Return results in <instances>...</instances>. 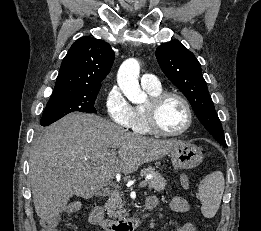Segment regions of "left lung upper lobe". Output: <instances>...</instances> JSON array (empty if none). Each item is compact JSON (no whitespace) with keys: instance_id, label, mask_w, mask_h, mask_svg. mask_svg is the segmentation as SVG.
Returning a JSON list of instances; mask_svg holds the SVG:
<instances>
[{"instance_id":"1","label":"left lung upper lobe","mask_w":261,"mask_h":231,"mask_svg":"<svg viewBox=\"0 0 261 231\" xmlns=\"http://www.w3.org/2000/svg\"><path fill=\"white\" fill-rule=\"evenodd\" d=\"M156 57L167 78L187 97L199 121L220 143L226 144L223 129L209 95L201 65L179 41H171L156 49Z\"/></svg>"}]
</instances>
